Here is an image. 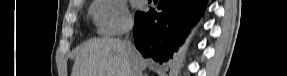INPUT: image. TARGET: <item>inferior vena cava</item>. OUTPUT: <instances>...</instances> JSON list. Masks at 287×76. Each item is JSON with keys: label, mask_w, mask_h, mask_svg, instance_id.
Here are the masks:
<instances>
[{"label": "inferior vena cava", "mask_w": 287, "mask_h": 76, "mask_svg": "<svg viewBox=\"0 0 287 76\" xmlns=\"http://www.w3.org/2000/svg\"><path fill=\"white\" fill-rule=\"evenodd\" d=\"M132 26L129 25L126 30L125 33H128L131 30ZM125 43V51L127 56L129 57L130 61H131V76H142V69L138 63V61L136 60L135 54H136V49L134 47V45L132 44V42L130 40H127L124 42Z\"/></svg>", "instance_id": "obj_1"}]
</instances>
